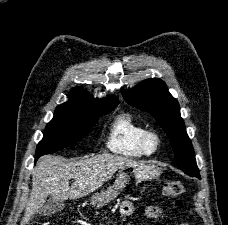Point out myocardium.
Returning <instances> with one entry per match:
<instances>
[{
    "label": "myocardium",
    "mask_w": 228,
    "mask_h": 225,
    "mask_svg": "<svg viewBox=\"0 0 228 225\" xmlns=\"http://www.w3.org/2000/svg\"><path fill=\"white\" fill-rule=\"evenodd\" d=\"M143 143L149 154H155L161 146V137L156 131L149 130L144 136Z\"/></svg>",
    "instance_id": "f54148a6"
}]
</instances>
